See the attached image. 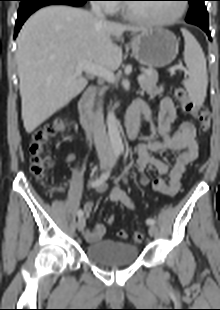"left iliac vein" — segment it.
I'll return each mask as SVG.
<instances>
[{"instance_id":"4c4485c4","label":"left iliac vein","mask_w":220,"mask_h":310,"mask_svg":"<svg viewBox=\"0 0 220 310\" xmlns=\"http://www.w3.org/2000/svg\"><path fill=\"white\" fill-rule=\"evenodd\" d=\"M112 161H111V165H112ZM148 232H149V235L151 236V237H154V236H156V233H157V229H156V226L153 224V225H150L149 226V229H148Z\"/></svg>"}]
</instances>
